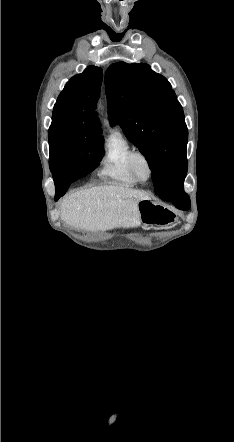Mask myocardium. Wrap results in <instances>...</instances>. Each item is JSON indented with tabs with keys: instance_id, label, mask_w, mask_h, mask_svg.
I'll return each instance as SVG.
<instances>
[{
	"instance_id": "myocardium-1",
	"label": "myocardium",
	"mask_w": 234,
	"mask_h": 442,
	"mask_svg": "<svg viewBox=\"0 0 234 442\" xmlns=\"http://www.w3.org/2000/svg\"><path fill=\"white\" fill-rule=\"evenodd\" d=\"M137 157H142L147 162V165H148V168H149V175H148V177L146 179L140 178L139 175L136 172L134 162H135V159ZM128 167H129V170H130L132 176L139 183H146V182H148L152 178V176L154 174V167H153V163H152L150 157L144 151H142L140 149H134L129 154V157H128Z\"/></svg>"
}]
</instances>
